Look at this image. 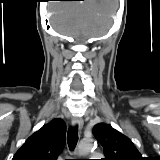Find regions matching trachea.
I'll list each match as a JSON object with an SVG mask.
<instances>
[{
    "instance_id": "1",
    "label": "trachea",
    "mask_w": 160,
    "mask_h": 160,
    "mask_svg": "<svg viewBox=\"0 0 160 160\" xmlns=\"http://www.w3.org/2000/svg\"><path fill=\"white\" fill-rule=\"evenodd\" d=\"M67 139H68L69 149L71 151L74 150V148L78 142V128H77V126L72 127L68 130Z\"/></svg>"
}]
</instances>
